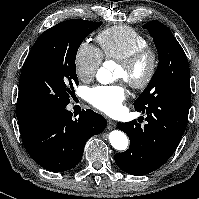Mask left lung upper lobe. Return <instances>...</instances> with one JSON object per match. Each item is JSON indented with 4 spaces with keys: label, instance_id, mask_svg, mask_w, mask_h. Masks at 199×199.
I'll return each instance as SVG.
<instances>
[{
    "label": "left lung upper lobe",
    "instance_id": "obj_1",
    "mask_svg": "<svg viewBox=\"0 0 199 199\" xmlns=\"http://www.w3.org/2000/svg\"><path fill=\"white\" fill-rule=\"evenodd\" d=\"M153 37L158 51L156 72L142 94L134 102L135 110L143 113L159 103H179L190 106V70L184 50L172 32L161 22L143 25Z\"/></svg>",
    "mask_w": 199,
    "mask_h": 199
}]
</instances>
